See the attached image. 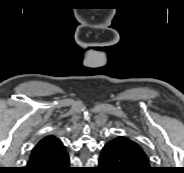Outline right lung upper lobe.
<instances>
[{
	"label": "right lung upper lobe",
	"instance_id": "1",
	"mask_svg": "<svg viewBox=\"0 0 184 173\" xmlns=\"http://www.w3.org/2000/svg\"><path fill=\"white\" fill-rule=\"evenodd\" d=\"M62 146L63 144L61 140H59L55 136H46L42 140H40L39 143L34 147L31 156L49 154L56 151Z\"/></svg>",
	"mask_w": 184,
	"mask_h": 173
}]
</instances>
